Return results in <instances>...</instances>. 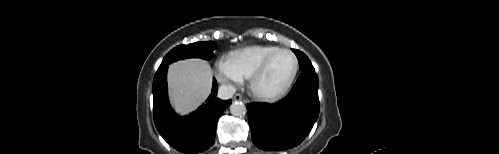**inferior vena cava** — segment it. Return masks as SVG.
I'll return each instance as SVG.
<instances>
[{"label": "inferior vena cava", "instance_id": "inferior-vena-cava-1", "mask_svg": "<svg viewBox=\"0 0 499 154\" xmlns=\"http://www.w3.org/2000/svg\"><path fill=\"white\" fill-rule=\"evenodd\" d=\"M236 89L231 85H221L218 89V97L223 100H227L233 97Z\"/></svg>", "mask_w": 499, "mask_h": 154}]
</instances>
